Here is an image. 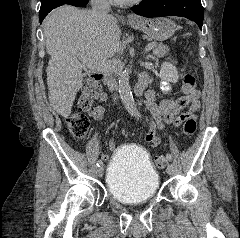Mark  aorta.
I'll return each mask as SVG.
<instances>
[{"instance_id": "762f6f07", "label": "aorta", "mask_w": 240, "mask_h": 238, "mask_svg": "<svg viewBox=\"0 0 240 238\" xmlns=\"http://www.w3.org/2000/svg\"><path fill=\"white\" fill-rule=\"evenodd\" d=\"M118 84L119 95L126 110L132 115L137 114L138 110L130 89V78L128 70L125 69L120 73Z\"/></svg>"}]
</instances>
